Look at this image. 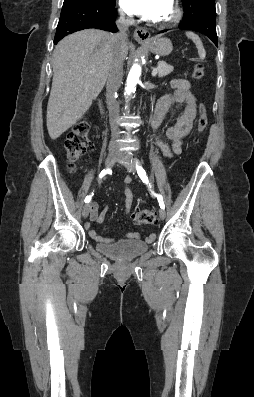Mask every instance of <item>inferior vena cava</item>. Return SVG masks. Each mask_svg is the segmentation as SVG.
Listing matches in <instances>:
<instances>
[{"mask_svg": "<svg viewBox=\"0 0 254 397\" xmlns=\"http://www.w3.org/2000/svg\"><path fill=\"white\" fill-rule=\"evenodd\" d=\"M134 24L133 19H127L122 14L117 20L119 32L113 35V47L111 50V59L108 68V81L106 99L110 117L111 143L110 148H115V141L119 138V128L117 118L119 116V104L116 100L115 93L118 91L123 78V59L121 55V46L126 43V31L130 25Z\"/></svg>", "mask_w": 254, "mask_h": 397, "instance_id": "1", "label": "inferior vena cava"}]
</instances>
